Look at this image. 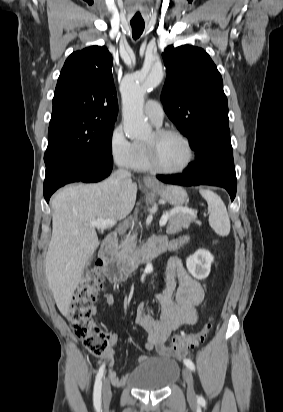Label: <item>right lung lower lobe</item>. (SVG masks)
Returning a JSON list of instances; mask_svg holds the SVG:
<instances>
[{"instance_id":"obj_1","label":"right lung lower lobe","mask_w":283,"mask_h":412,"mask_svg":"<svg viewBox=\"0 0 283 412\" xmlns=\"http://www.w3.org/2000/svg\"><path fill=\"white\" fill-rule=\"evenodd\" d=\"M113 162L91 160L84 162L62 161L46 168L43 193L47 202L51 195L61 186L71 182H98L107 177Z\"/></svg>"}]
</instances>
